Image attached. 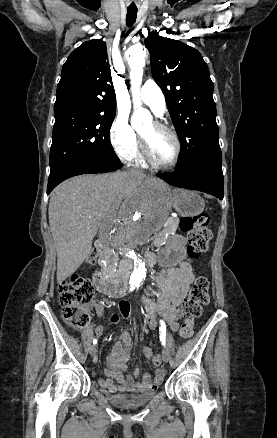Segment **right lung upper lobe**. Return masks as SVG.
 Wrapping results in <instances>:
<instances>
[{
  "instance_id": "cb5924a9",
  "label": "right lung upper lobe",
  "mask_w": 277,
  "mask_h": 438,
  "mask_svg": "<svg viewBox=\"0 0 277 438\" xmlns=\"http://www.w3.org/2000/svg\"><path fill=\"white\" fill-rule=\"evenodd\" d=\"M116 96L106 44L90 40L76 48L63 65L54 115H115Z\"/></svg>"
}]
</instances>
